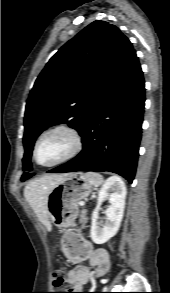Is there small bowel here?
Returning <instances> with one entry per match:
<instances>
[{
  "instance_id": "small-bowel-1",
  "label": "small bowel",
  "mask_w": 170,
  "mask_h": 293,
  "mask_svg": "<svg viewBox=\"0 0 170 293\" xmlns=\"http://www.w3.org/2000/svg\"><path fill=\"white\" fill-rule=\"evenodd\" d=\"M63 246L66 257L73 262L88 261L94 268L91 273L84 264H78L67 274V284L74 291L81 290L95 279L103 276L110 269L108 253L104 249H93L92 244L80 232L67 231L63 235Z\"/></svg>"
}]
</instances>
